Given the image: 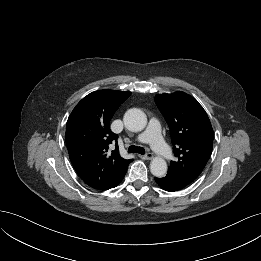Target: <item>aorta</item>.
<instances>
[{
  "label": "aorta",
  "mask_w": 261,
  "mask_h": 261,
  "mask_svg": "<svg viewBox=\"0 0 261 261\" xmlns=\"http://www.w3.org/2000/svg\"><path fill=\"white\" fill-rule=\"evenodd\" d=\"M125 127L133 132L142 131L147 125L146 114L138 108L129 109L123 118ZM150 171L156 177H164L167 172V163L161 157H155L150 163Z\"/></svg>",
  "instance_id": "762f6f07"
}]
</instances>
